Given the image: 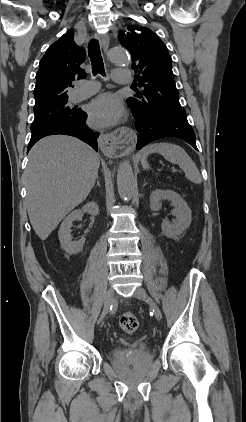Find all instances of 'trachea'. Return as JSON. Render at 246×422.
<instances>
[{"mask_svg":"<svg viewBox=\"0 0 246 422\" xmlns=\"http://www.w3.org/2000/svg\"><path fill=\"white\" fill-rule=\"evenodd\" d=\"M88 54L92 64L93 75L101 74L102 76H105V69L98 40H90L88 44Z\"/></svg>","mask_w":246,"mask_h":422,"instance_id":"3493384b","label":"trachea"}]
</instances>
